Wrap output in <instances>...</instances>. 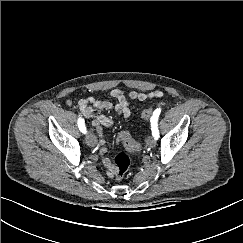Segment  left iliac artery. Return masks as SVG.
<instances>
[{
    "mask_svg": "<svg viewBox=\"0 0 243 243\" xmlns=\"http://www.w3.org/2000/svg\"><path fill=\"white\" fill-rule=\"evenodd\" d=\"M161 109H156L154 111L153 116L151 117V130H152V135L154 136L155 139L159 138V130H158V117L160 115Z\"/></svg>",
    "mask_w": 243,
    "mask_h": 243,
    "instance_id": "44dca946",
    "label": "left iliac artery"
}]
</instances>
